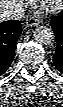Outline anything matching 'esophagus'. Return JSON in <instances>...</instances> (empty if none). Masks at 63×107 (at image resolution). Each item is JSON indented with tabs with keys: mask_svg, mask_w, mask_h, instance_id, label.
<instances>
[{
	"mask_svg": "<svg viewBox=\"0 0 63 107\" xmlns=\"http://www.w3.org/2000/svg\"><path fill=\"white\" fill-rule=\"evenodd\" d=\"M39 24V20L35 17H30L29 19H27L26 21V26L27 27H35Z\"/></svg>",
	"mask_w": 63,
	"mask_h": 107,
	"instance_id": "obj_1",
	"label": "esophagus"
}]
</instances>
